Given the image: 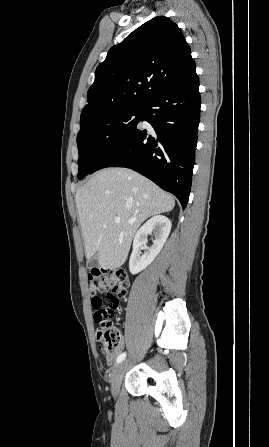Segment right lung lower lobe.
<instances>
[{"label":"right lung lower lobe","mask_w":269,"mask_h":447,"mask_svg":"<svg viewBox=\"0 0 269 447\" xmlns=\"http://www.w3.org/2000/svg\"><path fill=\"white\" fill-rule=\"evenodd\" d=\"M200 104L193 61L177 79L144 101L141 121L152 129L136 127L90 173L106 167L133 169L174 194L184 209L192 184Z\"/></svg>","instance_id":"right-lung-lower-lobe-1"}]
</instances>
